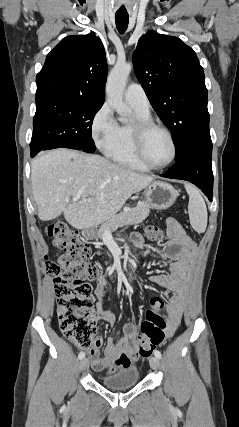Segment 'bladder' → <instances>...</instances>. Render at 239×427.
Masks as SVG:
<instances>
[{"label": "bladder", "mask_w": 239, "mask_h": 427, "mask_svg": "<svg viewBox=\"0 0 239 427\" xmlns=\"http://www.w3.org/2000/svg\"><path fill=\"white\" fill-rule=\"evenodd\" d=\"M139 381V371L135 367L121 369L101 378L102 384L112 390H123L135 386Z\"/></svg>", "instance_id": "bladder-1"}]
</instances>
